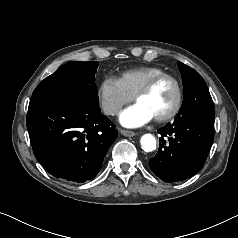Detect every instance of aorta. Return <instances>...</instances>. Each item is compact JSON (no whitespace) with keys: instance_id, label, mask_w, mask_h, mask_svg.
Instances as JSON below:
<instances>
[{"instance_id":"obj_1","label":"aorta","mask_w":238,"mask_h":238,"mask_svg":"<svg viewBox=\"0 0 238 238\" xmlns=\"http://www.w3.org/2000/svg\"><path fill=\"white\" fill-rule=\"evenodd\" d=\"M140 143L145 152H152L156 149V139L152 134H144L140 139Z\"/></svg>"}]
</instances>
